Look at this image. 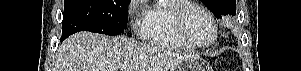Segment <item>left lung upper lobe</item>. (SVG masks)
<instances>
[{
  "label": "left lung upper lobe",
  "instance_id": "obj_1",
  "mask_svg": "<svg viewBox=\"0 0 301 71\" xmlns=\"http://www.w3.org/2000/svg\"><path fill=\"white\" fill-rule=\"evenodd\" d=\"M202 2L217 19L226 15H236V0H202Z\"/></svg>",
  "mask_w": 301,
  "mask_h": 71
}]
</instances>
